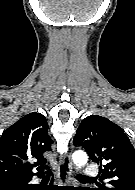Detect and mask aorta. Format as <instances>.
<instances>
[{
    "instance_id": "aorta-1",
    "label": "aorta",
    "mask_w": 135,
    "mask_h": 190,
    "mask_svg": "<svg viewBox=\"0 0 135 190\" xmlns=\"http://www.w3.org/2000/svg\"><path fill=\"white\" fill-rule=\"evenodd\" d=\"M73 162L77 167H81L87 163L88 157L87 154L83 151H76L74 152L73 156Z\"/></svg>"
}]
</instances>
